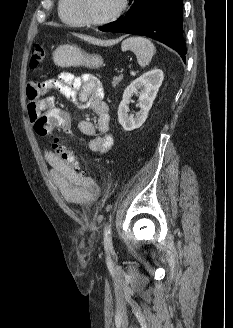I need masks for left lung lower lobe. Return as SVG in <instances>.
I'll return each instance as SVG.
<instances>
[{"mask_svg":"<svg viewBox=\"0 0 233 328\" xmlns=\"http://www.w3.org/2000/svg\"><path fill=\"white\" fill-rule=\"evenodd\" d=\"M127 14L98 29L150 37L177 51L185 61L182 0H130Z\"/></svg>","mask_w":233,"mask_h":328,"instance_id":"left-lung-lower-lobe-1","label":"left lung lower lobe"}]
</instances>
